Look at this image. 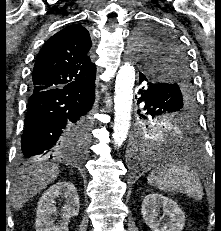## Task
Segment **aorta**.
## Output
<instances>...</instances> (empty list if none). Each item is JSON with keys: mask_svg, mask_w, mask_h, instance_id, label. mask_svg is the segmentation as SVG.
<instances>
[{"mask_svg": "<svg viewBox=\"0 0 221 231\" xmlns=\"http://www.w3.org/2000/svg\"><path fill=\"white\" fill-rule=\"evenodd\" d=\"M134 82V67L125 63L120 67L115 82L113 142L116 147L125 142L129 132Z\"/></svg>", "mask_w": 221, "mask_h": 231, "instance_id": "762f6f07", "label": "aorta"}]
</instances>
